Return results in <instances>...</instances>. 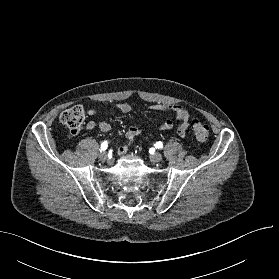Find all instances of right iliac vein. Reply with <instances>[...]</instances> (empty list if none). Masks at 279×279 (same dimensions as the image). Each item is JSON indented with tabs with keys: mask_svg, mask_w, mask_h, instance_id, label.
<instances>
[{
	"mask_svg": "<svg viewBox=\"0 0 279 279\" xmlns=\"http://www.w3.org/2000/svg\"><path fill=\"white\" fill-rule=\"evenodd\" d=\"M99 159L102 160V161H106L108 160V155L106 152H102L100 155H99Z\"/></svg>",
	"mask_w": 279,
	"mask_h": 279,
	"instance_id": "obj_1",
	"label": "right iliac vein"
}]
</instances>
